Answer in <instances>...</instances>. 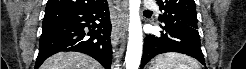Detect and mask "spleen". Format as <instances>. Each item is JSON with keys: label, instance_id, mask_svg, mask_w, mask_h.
<instances>
[{"label": "spleen", "instance_id": "1", "mask_svg": "<svg viewBox=\"0 0 246 69\" xmlns=\"http://www.w3.org/2000/svg\"><path fill=\"white\" fill-rule=\"evenodd\" d=\"M153 69H200L198 63L186 55L165 53L156 58Z\"/></svg>", "mask_w": 246, "mask_h": 69}]
</instances>
